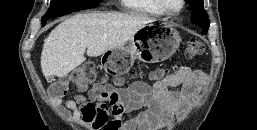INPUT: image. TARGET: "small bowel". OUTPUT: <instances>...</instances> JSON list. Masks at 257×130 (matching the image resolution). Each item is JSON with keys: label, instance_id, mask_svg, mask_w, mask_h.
<instances>
[{"label": "small bowel", "instance_id": "1", "mask_svg": "<svg viewBox=\"0 0 257 130\" xmlns=\"http://www.w3.org/2000/svg\"><path fill=\"white\" fill-rule=\"evenodd\" d=\"M205 82L201 71L182 66L152 86L142 81L126 88L96 83L86 99L50 98L62 114L89 130H159L190 105Z\"/></svg>", "mask_w": 257, "mask_h": 130}]
</instances>
